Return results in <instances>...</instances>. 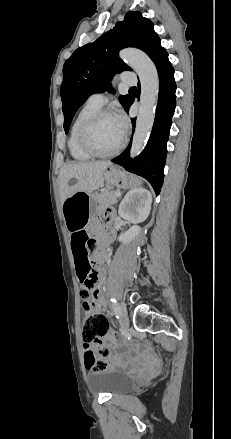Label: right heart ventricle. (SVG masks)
I'll use <instances>...</instances> for the list:
<instances>
[{
	"mask_svg": "<svg viewBox=\"0 0 231 439\" xmlns=\"http://www.w3.org/2000/svg\"><path fill=\"white\" fill-rule=\"evenodd\" d=\"M100 107L89 103L88 101L80 108L78 113L76 114L68 135L67 146L70 152V155L73 159L78 161H88L92 158L90 154H88L80 145L79 142V132L81 126L85 122V120L92 115L94 112L99 110Z\"/></svg>",
	"mask_w": 231,
	"mask_h": 439,
	"instance_id": "e07e8e85",
	"label": "right heart ventricle"
}]
</instances>
